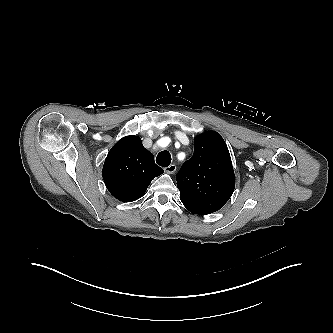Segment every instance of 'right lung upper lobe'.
Masks as SVG:
<instances>
[{"label": "right lung upper lobe", "mask_w": 333, "mask_h": 333, "mask_svg": "<svg viewBox=\"0 0 333 333\" xmlns=\"http://www.w3.org/2000/svg\"><path fill=\"white\" fill-rule=\"evenodd\" d=\"M145 149L139 137L130 135L119 140L109 151L102 176L109 192L118 200L131 202L142 197L154 179L163 173Z\"/></svg>", "instance_id": "right-lung-upper-lobe-1"}]
</instances>
